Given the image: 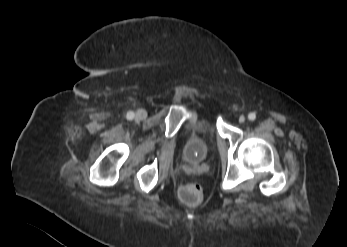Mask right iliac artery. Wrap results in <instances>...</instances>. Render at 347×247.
<instances>
[{
	"instance_id": "right-iliac-artery-1",
	"label": "right iliac artery",
	"mask_w": 347,
	"mask_h": 247,
	"mask_svg": "<svg viewBox=\"0 0 347 247\" xmlns=\"http://www.w3.org/2000/svg\"><path fill=\"white\" fill-rule=\"evenodd\" d=\"M126 117H127V119H132L134 117V112H132V111L127 112Z\"/></svg>"
}]
</instances>
